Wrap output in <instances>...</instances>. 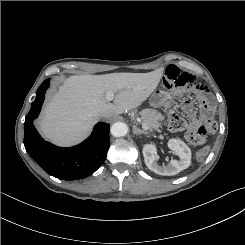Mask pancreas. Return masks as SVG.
<instances>
[{"label":"pancreas","mask_w":245,"mask_h":245,"mask_svg":"<svg viewBox=\"0 0 245 245\" xmlns=\"http://www.w3.org/2000/svg\"><path fill=\"white\" fill-rule=\"evenodd\" d=\"M141 120L145 123L150 131L158 130L161 126L160 121L163 119L161 113L154 109H144L139 113Z\"/></svg>","instance_id":"cf45deb5"}]
</instances>
